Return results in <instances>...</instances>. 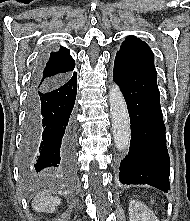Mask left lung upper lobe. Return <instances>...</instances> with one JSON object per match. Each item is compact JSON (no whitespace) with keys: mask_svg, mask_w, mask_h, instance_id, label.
I'll use <instances>...</instances> for the list:
<instances>
[{"mask_svg":"<svg viewBox=\"0 0 190 221\" xmlns=\"http://www.w3.org/2000/svg\"><path fill=\"white\" fill-rule=\"evenodd\" d=\"M117 55L124 56L135 62L154 63V55L150 47L134 36H129L121 45Z\"/></svg>","mask_w":190,"mask_h":221,"instance_id":"5c2ea615","label":"left lung upper lobe"}]
</instances>
